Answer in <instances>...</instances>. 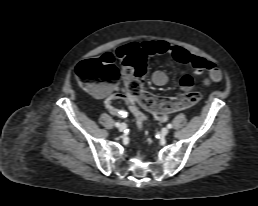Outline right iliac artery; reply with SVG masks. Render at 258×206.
I'll return each mask as SVG.
<instances>
[{
	"instance_id": "obj_1",
	"label": "right iliac artery",
	"mask_w": 258,
	"mask_h": 206,
	"mask_svg": "<svg viewBox=\"0 0 258 206\" xmlns=\"http://www.w3.org/2000/svg\"><path fill=\"white\" fill-rule=\"evenodd\" d=\"M120 125H121V124H120L119 122H116V123H115V126H116V127H119Z\"/></svg>"
}]
</instances>
